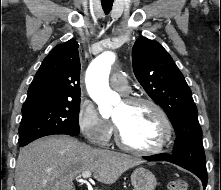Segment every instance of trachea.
<instances>
[{
    "instance_id": "3493384b",
    "label": "trachea",
    "mask_w": 221,
    "mask_h": 190,
    "mask_svg": "<svg viewBox=\"0 0 221 190\" xmlns=\"http://www.w3.org/2000/svg\"><path fill=\"white\" fill-rule=\"evenodd\" d=\"M101 4H102V8H103L104 12L109 13L112 9L113 1H110V2L101 1Z\"/></svg>"
}]
</instances>
